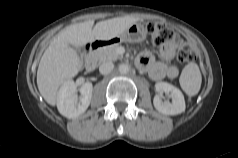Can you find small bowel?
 <instances>
[{
	"label": "small bowel",
	"instance_id": "obj_1",
	"mask_svg": "<svg viewBox=\"0 0 238 158\" xmlns=\"http://www.w3.org/2000/svg\"><path fill=\"white\" fill-rule=\"evenodd\" d=\"M177 45L174 42H169L163 45L160 49V56L163 61H157L150 51H144L137 59V65L142 70L148 72L154 80L164 78L174 79L178 76V68L169 62L174 58Z\"/></svg>",
	"mask_w": 238,
	"mask_h": 158
}]
</instances>
